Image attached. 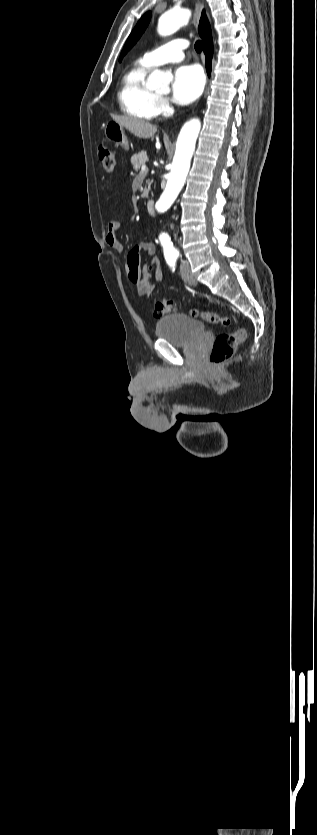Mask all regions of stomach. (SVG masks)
Here are the masks:
<instances>
[{"instance_id":"obj_1","label":"stomach","mask_w":317,"mask_h":835,"mask_svg":"<svg viewBox=\"0 0 317 835\" xmlns=\"http://www.w3.org/2000/svg\"><path fill=\"white\" fill-rule=\"evenodd\" d=\"M104 132L107 140L121 146L124 150H129L128 139L122 125L115 121H109L105 125Z\"/></svg>"}]
</instances>
